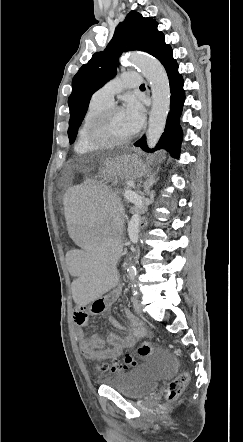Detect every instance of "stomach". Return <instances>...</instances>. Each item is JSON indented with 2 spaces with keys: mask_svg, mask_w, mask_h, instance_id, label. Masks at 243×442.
Here are the masks:
<instances>
[{
  "mask_svg": "<svg viewBox=\"0 0 243 442\" xmlns=\"http://www.w3.org/2000/svg\"><path fill=\"white\" fill-rule=\"evenodd\" d=\"M144 173L142 161L135 155H123L107 160L100 169V175H107L118 181L120 178H135Z\"/></svg>",
  "mask_w": 243,
  "mask_h": 442,
  "instance_id": "1",
  "label": "stomach"
}]
</instances>
